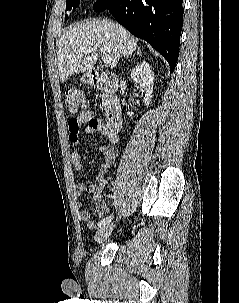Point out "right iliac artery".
<instances>
[{"label": "right iliac artery", "mask_w": 239, "mask_h": 303, "mask_svg": "<svg viewBox=\"0 0 239 303\" xmlns=\"http://www.w3.org/2000/svg\"><path fill=\"white\" fill-rule=\"evenodd\" d=\"M112 220V216H107L106 218L102 219L101 221L98 222V226L102 227L108 224Z\"/></svg>", "instance_id": "1"}]
</instances>
